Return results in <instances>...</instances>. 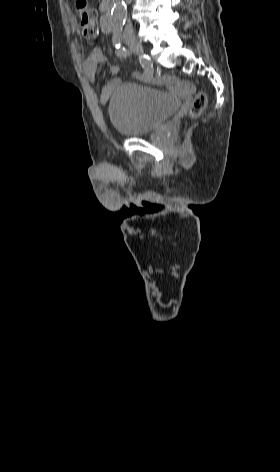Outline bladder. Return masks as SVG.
Masks as SVG:
<instances>
[{
    "mask_svg": "<svg viewBox=\"0 0 280 472\" xmlns=\"http://www.w3.org/2000/svg\"><path fill=\"white\" fill-rule=\"evenodd\" d=\"M177 108V100L163 90L123 82L110 99L109 116L118 132L126 136H139L157 129Z\"/></svg>",
    "mask_w": 280,
    "mask_h": 472,
    "instance_id": "obj_1",
    "label": "bladder"
}]
</instances>
